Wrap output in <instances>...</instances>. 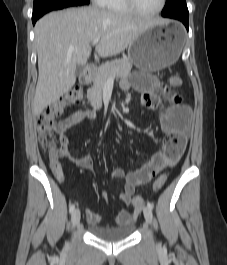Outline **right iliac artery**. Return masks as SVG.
I'll return each instance as SVG.
<instances>
[{
    "instance_id": "obj_1",
    "label": "right iliac artery",
    "mask_w": 227,
    "mask_h": 265,
    "mask_svg": "<svg viewBox=\"0 0 227 265\" xmlns=\"http://www.w3.org/2000/svg\"><path fill=\"white\" fill-rule=\"evenodd\" d=\"M75 209V204L70 205L69 212L72 213Z\"/></svg>"
}]
</instances>
